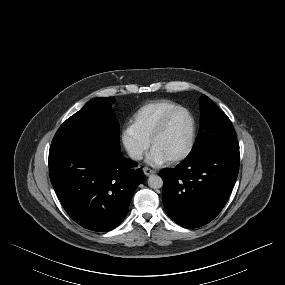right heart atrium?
I'll return each instance as SVG.
<instances>
[{
  "label": "right heart atrium",
  "mask_w": 285,
  "mask_h": 285,
  "mask_svg": "<svg viewBox=\"0 0 285 285\" xmlns=\"http://www.w3.org/2000/svg\"><path fill=\"white\" fill-rule=\"evenodd\" d=\"M122 144L132 160H140L149 147V141L142 137L131 123L125 125L121 133Z\"/></svg>",
  "instance_id": "1"
}]
</instances>
